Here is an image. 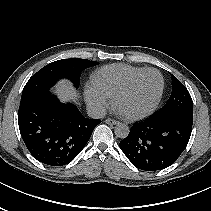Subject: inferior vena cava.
Returning a JSON list of instances; mask_svg holds the SVG:
<instances>
[{"mask_svg":"<svg viewBox=\"0 0 211 211\" xmlns=\"http://www.w3.org/2000/svg\"><path fill=\"white\" fill-rule=\"evenodd\" d=\"M87 114L91 118H103L106 115V110L103 106L91 105L87 107Z\"/></svg>","mask_w":211,"mask_h":211,"instance_id":"inferior-vena-cava-1","label":"inferior vena cava"}]
</instances>
